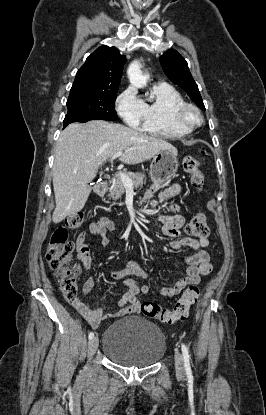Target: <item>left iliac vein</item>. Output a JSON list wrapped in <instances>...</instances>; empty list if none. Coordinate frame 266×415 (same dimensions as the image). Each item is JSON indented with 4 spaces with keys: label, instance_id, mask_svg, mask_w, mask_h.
Returning <instances> with one entry per match:
<instances>
[{
    "label": "left iliac vein",
    "instance_id": "1",
    "mask_svg": "<svg viewBox=\"0 0 266 415\" xmlns=\"http://www.w3.org/2000/svg\"><path fill=\"white\" fill-rule=\"evenodd\" d=\"M175 368L179 375H182L184 373L183 357L178 350H176L175 352Z\"/></svg>",
    "mask_w": 266,
    "mask_h": 415
}]
</instances>
